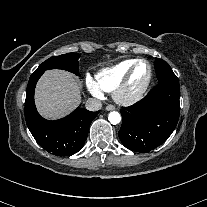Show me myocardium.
I'll list each match as a JSON object with an SVG mask.
<instances>
[{"mask_svg":"<svg viewBox=\"0 0 207 207\" xmlns=\"http://www.w3.org/2000/svg\"><path fill=\"white\" fill-rule=\"evenodd\" d=\"M139 63H144L148 67V75L144 83L135 91H129L130 81L134 72L135 67ZM152 80V66L151 64L145 59H137L135 60L132 65L129 67L128 71L126 72L125 76L122 80L117 84L113 91V98L114 100L124 106L132 105L138 100H140L145 92L147 91L150 83Z\"/></svg>","mask_w":207,"mask_h":207,"instance_id":"myocardium-1","label":"myocardium"}]
</instances>
